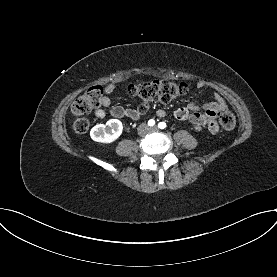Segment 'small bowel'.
Listing matches in <instances>:
<instances>
[{"label": "small bowel", "instance_id": "c3829d8e", "mask_svg": "<svg viewBox=\"0 0 277 277\" xmlns=\"http://www.w3.org/2000/svg\"><path fill=\"white\" fill-rule=\"evenodd\" d=\"M206 83L200 81L197 83L198 89H204ZM116 90V85L111 83L104 88V96L101 101V105L108 108V113L114 118H129L134 121H138L148 111L149 103L147 101L141 102L135 108H125L120 105L111 106L110 95ZM214 101L197 103L190 102L185 107L176 109L173 112V116L179 121H188L196 130H202L207 128L211 133H217L219 126L216 121V117L227 109V104L224 98L217 92L213 93ZM203 110L204 112H201ZM95 115L98 118H104L107 112L102 108L95 109ZM157 115L159 117H165L166 112L164 110H158Z\"/></svg>", "mask_w": 277, "mask_h": 277}]
</instances>
